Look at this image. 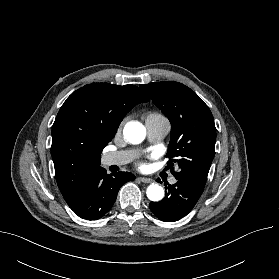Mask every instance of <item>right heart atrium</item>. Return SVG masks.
<instances>
[{
  "instance_id": "d8ad5b80",
  "label": "right heart atrium",
  "mask_w": 279,
  "mask_h": 279,
  "mask_svg": "<svg viewBox=\"0 0 279 279\" xmlns=\"http://www.w3.org/2000/svg\"><path fill=\"white\" fill-rule=\"evenodd\" d=\"M123 124H124V121H122V122L119 124V126H118V131H120V130H121V128H122V126H123Z\"/></svg>"
}]
</instances>
